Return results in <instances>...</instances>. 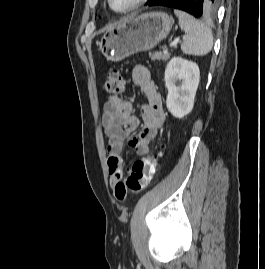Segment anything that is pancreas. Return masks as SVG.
Segmentation results:
<instances>
[{"label":"pancreas","mask_w":265,"mask_h":269,"mask_svg":"<svg viewBox=\"0 0 265 269\" xmlns=\"http://www.w3.org/2000/svg\"><path fill=\"white\" fill-rule=\"evenodd\" d=\"M149 56H150V58L152 60L167 61L168 59H170L171 54H169V53H162V52H155V53H150Z\"/></svg>","instance_id":"1"}]
</instances>
